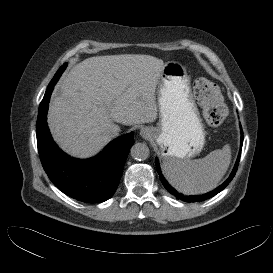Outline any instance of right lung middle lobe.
<instances>
[{
  "label": "right lung middle lobe",
  "instance_id": "dd1d6c3e",
  "mask_svg": "<svg viewBox=\"0 0 273 273\" xmlns=\"http://www.w3.org/2000/svg\"><path fill=\"white\" fill-rule=\"evenodd\" d=\"M67 64L65 63L55 74L54 78L51 80L50 84L48 85V87L52 84H56V82L58 81V79L60 78L62 72L65 70Z\"/></svg>",
  "mask_w": 273,
  "mask_h": 273
}]
</instances>
